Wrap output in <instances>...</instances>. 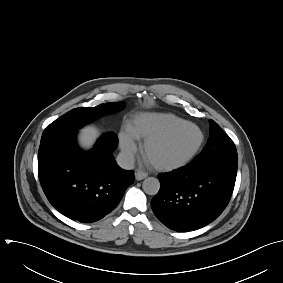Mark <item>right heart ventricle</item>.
<instances>
[{"label": "right heart ventricle", "mask_w": 283, "mask_h": 283, "mask_svg": "<svg viewBox=\"0 0 283 283\" xmlns=\"http://www.w3.org/2000/svg\"><path fill=\"white\" fill-rule=\"evenodd\" d=\"M182 121V118L172 113L144 112L131 117L125 130L133 140L144 141Z\"/></svg>", "instance_id": "e07e8e85"}]
</instances>
